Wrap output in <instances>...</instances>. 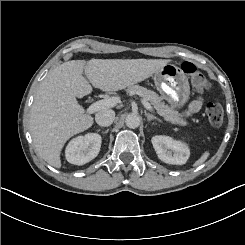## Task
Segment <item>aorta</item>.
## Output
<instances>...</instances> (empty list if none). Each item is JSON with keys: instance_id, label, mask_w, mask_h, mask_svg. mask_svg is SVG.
Returning <instances> with one entry per match:
<instances>
[{"instance_id": "762f6f07", "label": "aorta", "mask_w": 245, "mask_h": 245, "mask_svg": "<svg viewBox=\"0 0 245 245\" xmlns=\"http://www.w3.org/2000/svg\"><path fill=\"white\" fill-rule=\"evenodd\" d=\"M141 119L137 114H128L125 119L126 126L132 129L138 128L140 125Z\"/></svg>"}]
</instances>
